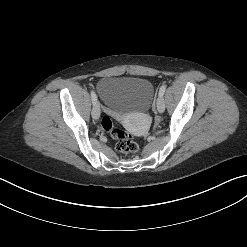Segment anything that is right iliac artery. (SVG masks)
<instances>
[{"mask_svg": "<svg viewBox=\"0 0 247 247\" xmlns=\"http://www.w3.org/2000/svg\"><path fill=\"white\" fill-rule=\"evenodd\" d=\"M91 98H92L93 104H95L97 101V96L94 91H91Z\"/></svg>", "mask_w": 247, "mask_h": 247, "instance_id": "obj_1", "label": "right iliac artery"}]
</instances>
